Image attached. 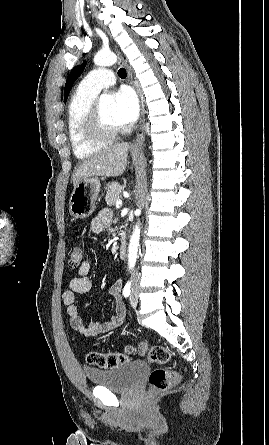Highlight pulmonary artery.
<instances>
[{
	"instance_id": "pulmonary-artery-1",
	"label": "pulmonary artery",
	"mask_w": 269,
	"mask_h": 445,
	"mask_svg": "<svg viewBox=\"0 0 269 445\" xmlns=\"http://www.w3.org/2000/svg\"><path fill=\"white\" fill-rule=\"evenodd\" d=\"M115 81V75L111 70L97 68L87 74L79 87L88 93L97 95L102 89L112 86Z\"/></svg>"
}]
</instances>
